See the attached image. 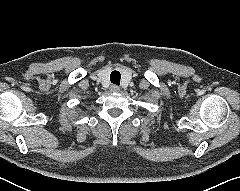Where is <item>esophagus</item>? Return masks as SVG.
Masks as SVG:
<instances>
[{
	"label": "esophagus",
	"instance_id": "34e87169",
	"mask_svg": "<svg viewBox=\"0 0 240 191\" xmlns=\"http://www.w3.org/2000/svg\"><path fill=\"white\" fill-rule=\"evenodd\" d=\"M110 91H111V92H119V91H120V88H119V86H117V85H111V86H110Z\"/></svg>",
	"mask_w": 240,
	"mask_h": 191
}]
</instances>
